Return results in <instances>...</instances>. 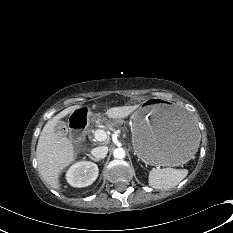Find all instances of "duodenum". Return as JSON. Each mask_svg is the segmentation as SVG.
<instances>
[{
  "instance_id": "1",
  "label": "duodenum",
  "mask_w": 233,
  "mask_h": 233,
  "mask_svg": "<svg viewBox=\"0 0 233 233\" xmlns=\"http://www.w3.org/2000/svg\"><path fill=\"white\" fill-rule=\"evenodd\" d=\"M89 123V113L85 109H76L72 113V120L70 121V130L77 137L84 135Z\"/></svg>"
}]
</instances>
